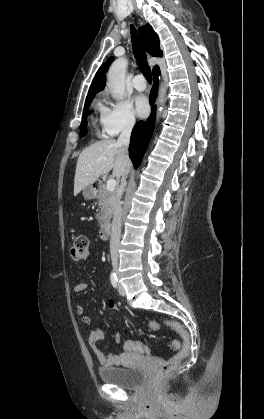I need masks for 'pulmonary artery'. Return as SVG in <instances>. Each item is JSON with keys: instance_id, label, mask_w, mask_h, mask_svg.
<instances>
[{"instance_id": "obj_1", "label": "pulmonary artery", "mask_w": 264, "mask_h": 419, "mask_svg": "<svg viewBox=\"0 0 264 419\" xmlns=\"http://www.w3.org/2000/svg\"><path fill=\"white\" fill-rule=\"evenodd\" d=\"M133 86L138 90V91H143L146 89V81L143 75L138 74L136 75L133 80Z\"/></svg>"}]
</instances>
